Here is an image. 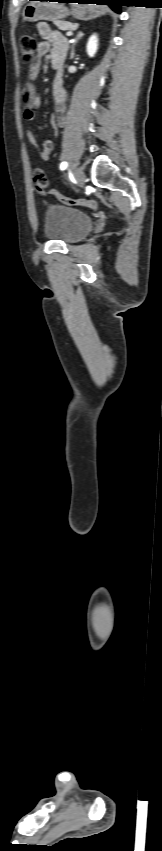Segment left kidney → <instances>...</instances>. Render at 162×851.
Returning a JSON list of instances; mask_svg holds the SVG:
<instances>
[{"mask_svg":"<svg viewBox=\"0 0 162 851\" xmlns=\"http://www.w3.org/2000/svg\"><path fill=\"white\" fill-rule=\"evenodd\" d=\"M98 49V36L93 34L90 36L86 46V52L89 57H94Z\"/></svg>","mask_w":162,"mask_h":851,"instance_id":"5707ae66","label":"left kidney"}]
</instances>
